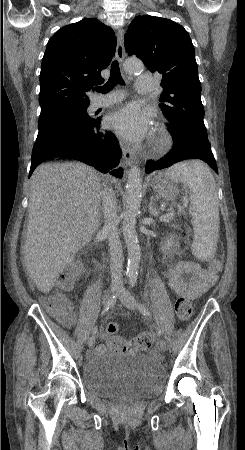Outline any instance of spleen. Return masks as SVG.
Wrapping results in <instances>:
<instances>
[{"label": "spleen", "mask_w": 245, "mask_h": 450, "mask_svg": "<svg viewBox=\"0 0 245 450\" xmlns=\"http://www.w3.org/2000/svg\"><path fill=\"white\" fill-rule=\"evenodd\" d=\"M166 175L189 188L194 230L192 253L199 260L212 259L219 234L218 195L212 172L201 161H185L170 167Z\"/></svg>", "instance_id": "spleen-1"}]
</instances>
